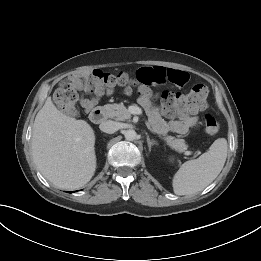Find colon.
Returning a JSON list of instances; mask_svg holds the SVG:
<instances>
[{
    "instance_id": "1",
    "label": "colon",
    "mask_w": 261,
    "mask_h": 261,
    "mask_svg": "<svg viewBox=\"0 0 261 261\" xmlns=\"http://www.w3.org/2000/svg\"><path fill=\"white\" fill-rule=\"evenodd\" d=\"M137 80L142 83L138 77ZM78 85L85 91L101 96L109 94L119 87H127L135 85V83L124 72L112 74L102 70H93L76 77L75 80L70 79L62 82L55 92L54 101L57 107L68 115H74L77 112L76 88ZM207 96V87L197 84L186 94L164 91L161 94L160 101L163 110L169 117H172L204 110L207 106ZM204 127L208 134L213 135L218 132L219 123L214 116L207 114L204 118Z\"/></svg>"
}]
</instances>
